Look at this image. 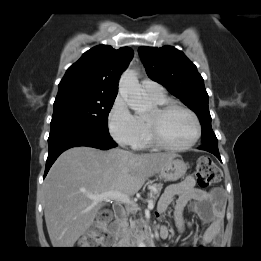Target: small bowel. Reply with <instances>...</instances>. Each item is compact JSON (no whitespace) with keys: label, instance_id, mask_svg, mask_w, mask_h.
<instances>
[{"label":"small bowel","instance_id":"1","mask_svg":"<svg viewBox=\"0 0 261 261\" xmlns=\"http://www.w3.org/2000/svg\"><path fill=\"white\" fill-rule=\"evenodd\" d=\"M175 201L174 220L179 231L184 229L182 211L189 202H193V210L200 219L208 224V228L201 238V245L216 244L220 240L223 225L226 196L222 189L214 188L206 191L195 186L192 176H187L182 181L172 184L162 194L158 203V214ZM162 234H167V229L162 228Z\"/></svg>","mask_w":261,"mask_h":261}]
</instances>
